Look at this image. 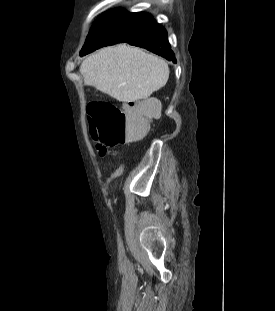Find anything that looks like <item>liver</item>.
I'll list each match as a JSON object with an SVG mask.
<instances>
[{"instance_id":"1","label":"liver","mask_w":275,"mask_h":311,"mask_svg":"<svg viewBox=\"0 0 275 311\" xmlns=\"http://www.w3.org/2000/svg\"><path fill=\"white\" fill-rule=\"evenodd\" d=\"M86 85L129 103L148 98L164 87L168 64L161 58L125 44L103 48L80 66Z\"/></svg>"}]
</instances>
